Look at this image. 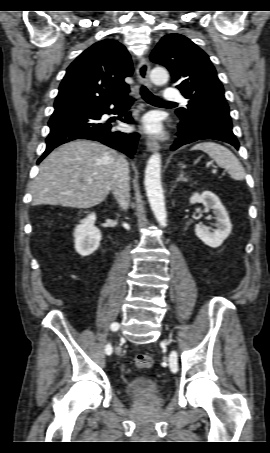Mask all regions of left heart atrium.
Wrapping results in <instances>:
<instances>
[{
    "instance_id": "left-heart-atrium-1",
    "label": "left heart atrium",
    "mask_w": 270,
    "mask_h": 453,
    "mask_svg": "<svg viewBox=\"0 0 270 453\" xmlns=\"http://www.w3.org/2000/svg\"><path fill=\"white\" fill-rule=\"evenodd\" d=\"M144 129L151 133L158 132L160 129L159 121L154 117H147L144 120Z\"/></svg>"
}]
</instances>
